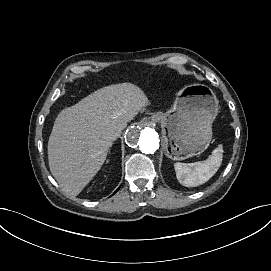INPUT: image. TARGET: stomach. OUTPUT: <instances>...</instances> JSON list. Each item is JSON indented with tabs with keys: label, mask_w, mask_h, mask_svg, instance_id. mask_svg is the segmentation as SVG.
Returning a JSON list of instances; mask_svg holds the SVG:
<instances>
[{
	"label": "stomach",
	"mask_w": 271,
	"mask_h": 271,
	"mask_svg": "<svg viewBox=\"0 0 271 271\" xmlns=\"http://www.w3.org/2000/svg\"><path fill=\"white\" fill-rule=\"evenodd\" d=\"M218 112L213 91L205 85H193L178 93L170 110L154 112L150 121L161 126L162 149L167 157L184 160L210 146L212 123Z\"/></svg>",
	"instance_id": "obj_1"
}]
</instances>
